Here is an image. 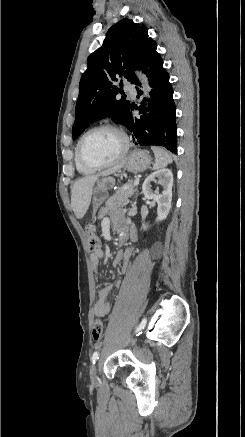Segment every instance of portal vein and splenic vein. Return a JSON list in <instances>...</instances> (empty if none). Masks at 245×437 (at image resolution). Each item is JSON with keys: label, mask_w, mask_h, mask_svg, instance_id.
I'll return each mask as SVG.
<instances>
[{"label": "portal vein and splenic vein", "mask_w": 245, "mask_h": 437, "mask_svg": "<svg viewBox=\"0 0 245 437\" xmlns=\"http://www.w3.org/2000/svg\"><path fill=\"white\" fill-rule=\"evenodd\" d=\"M138 184H139V180H138V179H135V181H134V186H138Z\"/></svg>", "instance_id": "18ae733b"}]
</instances>
